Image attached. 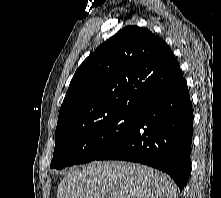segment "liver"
Segmentation results:
<instances>
[{"mask_svg":"<svg viewBox=\"0 0 221 198\" xmlns=\"http://www.w3.org/2000/svg\"><path fill=\"white\" fill-rule=\"evenodd\" d=\"M177 198L166 174L136 163L94 161L71 170L60 182L57 198Z\"/></svg>","mask_w":221,"mask_h":198,"instance_id":"1","label":"liver"}]
</instances>
